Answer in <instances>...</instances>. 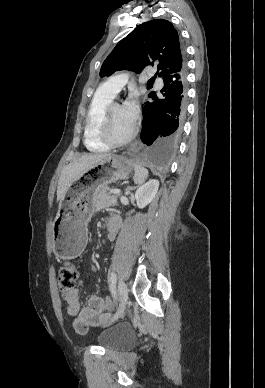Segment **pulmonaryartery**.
<instances>
[{
  "mask_svg": "<svg viewBox=\"0 0 265 388\" xmlns=\"http://www.w3.org/2000/svg\"><path fill=\"white\" fill-rule=\"evenodd\" d=\"M132 79L131 77L129 78ZM154 82H161L163 77L161 75H154L152 77ZM125 84L122 76L113 75L111 79H106L103 84L104 90H120L122 86Z\"/></svg>",
  "mask_w": 265,
  "mask_h": 388,
  "instance_id": "pulmonary-artery-1",
  "label": "pulmonary artery"
}]
</instances>
